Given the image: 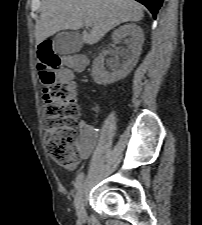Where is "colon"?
<instances>
[{"label": "colon", "instance_id": "5ec220e1", "mask_svg": "<svg viewBox=\"0 0 202 225\" xmlns=\"http://www.w3.org/2000/svg\"><path fill=\"white\" fill-rule=\"evenodd\" d=\"M56 39L40 41L37 57L44 88L43 129L44 144L49 157L63 168H74L78 163L77 132L80 108L75 101V87L69 74H59L56 68L62 63L55 53ZM70 59L73 54H66Z\"/></svg>", "mask_w": 202, "mask_h": 225}]
</instances>
